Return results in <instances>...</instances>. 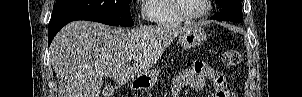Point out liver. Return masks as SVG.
Here are the masks:
<instances>
[{"mask_svg":"<svg viewBox=\"0 0 302 97\" xmlns=\"http://www.w3.org/2000/svg\"><path fill=\"white\" fill-rule=\"evenodd\" d=\"M185 28L157 25L122 29L91 21L69 23L50 46L58 97H100L104 77L123 85L148 73ZM130 56H135L132 65Z\"/></svg>","mask_w":302,"mask_h":97,"instance_id":"1","label":"liver"}]
</instances>
